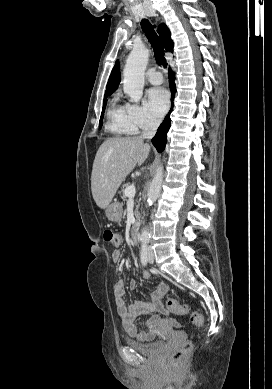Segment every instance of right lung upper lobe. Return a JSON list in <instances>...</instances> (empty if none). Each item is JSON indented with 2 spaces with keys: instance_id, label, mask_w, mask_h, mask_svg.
<instances>
[{
  "instance_id": "right-lung-upper-lobe-1",
  "label": "right lung upper lobe",
  "mask_w": 272,
  "mask_h": 389,
  "mask_svg": "<svg viewBox=\"0 0 272 389\" xmlns=\"http://www.w3.org/2000/svg\"><path fill=\"white\" fill-rule=\"evenodd\" d=\"M158 33L160 36L161 43L163 44L166 51L172 52L173 51V41L170 38V31L167 28V26L165 24H161L158 27ZM120 81H121L120 64H119V61L117 60L113 69H112L111 75L109 77L105 95H109V94L113 93L114 91H116Z\"/></svg>"
}]
</instances>
